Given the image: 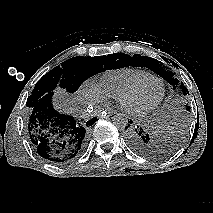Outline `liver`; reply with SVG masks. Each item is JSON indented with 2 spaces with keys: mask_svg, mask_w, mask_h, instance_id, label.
<instances>
[{
  "mask_svg": "<svg viewBox=\"0 0 213 213\" xmlns=\"http://www.w3.org/2000/svg\"><path fill=\"white\" fill-rule=\"evenodd\" d=\"M59 94L55 98V105L59 109L71 110V101L66 98L65 93L62 90H58Z\"/></svg>",
  "mask_w": 213,
  "mask_h": 213,
  "instance_id": "6515ba94",
  "label": "liver"
}]
</instances>
